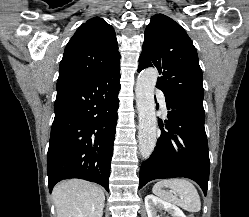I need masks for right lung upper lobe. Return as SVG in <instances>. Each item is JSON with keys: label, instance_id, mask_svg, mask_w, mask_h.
<instances>
[{"label": "right lung upper lobe", "instance_id": "right-lung-upper-lobe-1", "mask_svg": "<svg viewBox=\"0 0 249 217\" xmlns=\"http://www.w3.org/2000/svg\"><path fill=\"white\" fill-rule=\"evenodd\" d=\"M119 67L115 31L103 19L94 17L82 24L66 45L58 80L95 78Z\"/></svg>", "mask_w": 249, "mask_h": 217}]
</instances>
